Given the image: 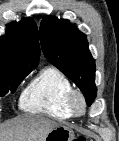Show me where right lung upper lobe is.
Segmentation results:
<instances>
[{
  "mask_svg": "<svg viewBox=\"0 0 119 141\" xmlns=\"http://www.w3.org/2000/svg\"><path fill=\"white\" fill-rule=\"evenodd\" d=\"M38 29L31 18L7 25L0 37V73H27L36 68L40 48Z\"/></svg>",
  "mask_w": 119,
  "mask_h": 141,
  "instance_id": "right-lung-upper-lobe-1",
  "label": "right lung upper lobe"
}]
</instances>
